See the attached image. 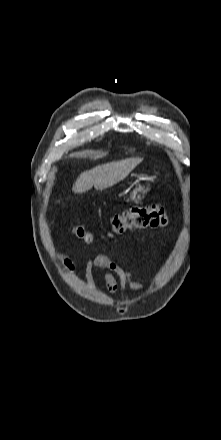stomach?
<instances>
[{
    "mask_svg": "<svg viewBox=\"0 0 221 440\" xmlns=\"http://www.w3.org/2000/svg\"><path fill=\"white\" fill-rule=\"evenodd\" d=\"M146 194L147 189L143 185L138 184L130 193L129 200L134 203H138L146 196Z\"/></svg>",
    "mask_w": 221,
    "mask_h": 440,
    "instance_id": "obj_1",
    "label": "stomach"
}]
</instances>
